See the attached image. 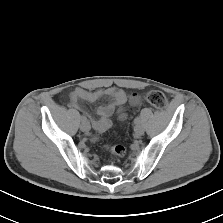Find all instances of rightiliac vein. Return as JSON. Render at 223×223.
I'll return each mask as SVG.
<instances>
[{"mask_svg": "<svg viewBox=\"0 0 223 223\" xmlns=\"http://www.w3.org/2000/svg\"><path fill=\"white\" fill-rule=\"evenodd\" d=\"M80 129L83 132H88L90 130V124L87 121H82L81 125H80Z\"/></svg>", "mask_w": 223, "mask_h": 223, "instance_id": "obj_1", "label": "right iliac vein"}]
</instances>
